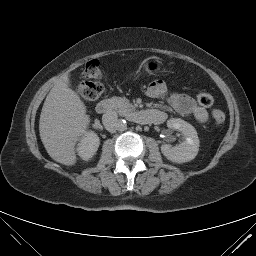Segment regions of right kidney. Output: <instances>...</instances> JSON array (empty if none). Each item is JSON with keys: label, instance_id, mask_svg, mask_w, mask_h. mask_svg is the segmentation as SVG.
Returning a JSON list of instances; mask_svg holds the SVG:
<instances>
[{"label": "right kidney", "instance_id": "1", "mask_svg": "<svg viewBox=\"0 0 256 256\" xmlns=\"http://www.w3.org/2000/svg\"><path fill=\"white\" fill-rule=\"evenodd\" d=\"M99 137L94 132H85L78 144V154L83 160H88L93 157L99 147Z\"/></svg>", "mask_w": 256, "mask_h": 256}]
</instances>
